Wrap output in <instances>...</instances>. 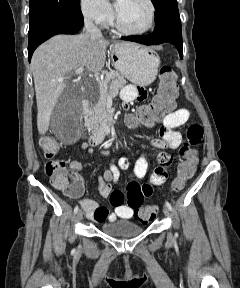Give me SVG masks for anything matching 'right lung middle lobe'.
<instances>
[{
  "instance_id": "1",
  "label": "right lung middle lobe",
  "mask_w": 240,
  "mask_h": 288,
  "mask_svg": "<svg viewBox=\"0 0 240 288\" xmlns=\"http://www.w3.org/2000/svg\"><path fill=\"white\" fill-rule=\"evenodd\" d=\"M54 18L83 19L80 0H30L28 35L45 21Z\"/></svg>"
}]
</instances>
